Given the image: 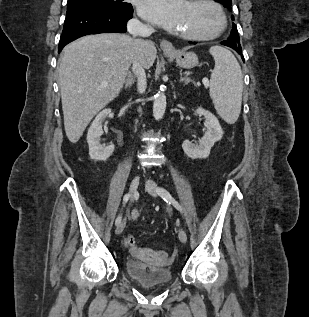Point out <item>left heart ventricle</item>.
Segmentation results:
<instances>
[{
	"label": "left heart ventricle",
	"mask_w": 309,
	"mask_h": 317,
	"mask_svg": "<svg viewBox=\"0 0 309 317\" xmlns=\"http://www.w3.org/2000/svg\"><path fill=\"white\" fill-rule=\"evenodd\" d=\"M218 25L215 10L202 3L187 2L180 25V32L206 34Z\"/></svg>",
	"instance_id": "left-heart-ventricle-1"
}]
</instances>
